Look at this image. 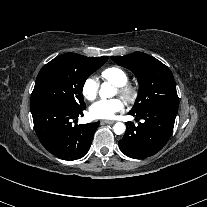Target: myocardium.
I'll return each mask as SVG.
<instances>
[{
	"instance_id": "f54148a6",
	"label": "myocardium",
	"mask_w": 207,
	"mask_h": 207,
	"mask_svg": "<svg viewBox=\"0 0 207 207\" xmlns=\"http://www.w3.org/2000/svg\"><path fill=\"white\" fill-rule=\"evenodd\" d=\"M118 93L128 105H133L137 101L138 90L132 85L126 84L118 87Z\"/></svg>"
}]
</instances>
